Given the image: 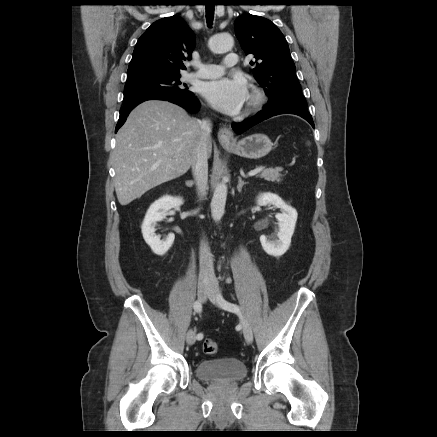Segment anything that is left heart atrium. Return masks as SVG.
I'll list each match as a JSON object with an SVG mask.
<instances>
[{"label":"left heart atrium","instance_id":"obj_1","mask_svg":"<svg viewBox=\"0 0 437 437\" xmlns=\"http://www.w3.org/2000/svg\"><path fill=\"white\" fill-rule=\"evenodd\" d=\"M202 95L218 110L229 115L238 114L249 98L247 83L240 78L206 82Z\"/></svg>","mask_w":437,"mask_h":437}]
</instances>
